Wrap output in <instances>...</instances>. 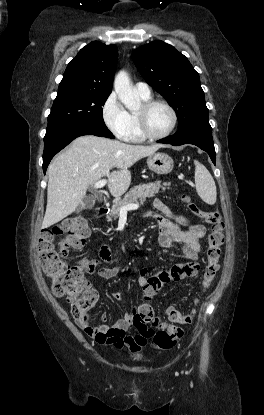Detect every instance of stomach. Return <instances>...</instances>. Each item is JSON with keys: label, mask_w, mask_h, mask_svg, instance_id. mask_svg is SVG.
<instances>
[{"label": "stomach", "mask_w": 264, "mask_h": 415, "mask_svg": "<svg viewBox=\"0 0 264 415\" xmlns=\"http://www.w3.org/2000/svg\"><path fill=\"white\" fill-rule=\"evenodd\" d=\"M147 165L154 173L165 175L173 170L174 161L168 154L158 152L148 156Z\"/></svg>", "instance_id": "0dacf381"}]
</instances>
